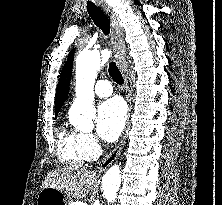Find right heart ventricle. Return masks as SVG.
<instances>
[{
  "label": "right heart ventricle",
  "instance_id": "obj_1",
  "mask_svg": "<svg viewBox=\"0 0 222 205\" xmlns=\"http://www.w3.org/2000/svg\"><path fill=\"white\" fill-rule=\"evenodd\" d=\"M56 151L58 159L66 166L78 167L90 160L83 148L81 134L65 127L59 130Z\"/></svg>",
  "mask_w": 222,
  "mask_h": 205
}]
</instances>
